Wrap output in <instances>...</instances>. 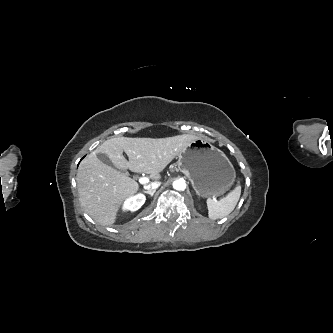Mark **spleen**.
Masks as SVG:
<instances>
[{"mask_svg":"<svg viewBox=\"0 0 333 333\" xmlns=\"http://www.w3.org/2000/svg\"><path fill=\"white\" fill-rule=\"evenodd\" d=\"M241 186L238 185L227 194L226 197L217 201L214 198L207 199L208 216L210 219H221L229 215L239 201Z\"/></svg>","mask_w":333,"mask_h":333,"instance_id":"spleen-1","label":"spleen"}]
</instances>
